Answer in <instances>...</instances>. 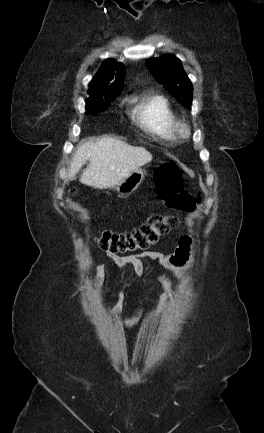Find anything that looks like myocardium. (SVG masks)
<instances>
[{
	"label": "myocardium",
	"instance_id": "myocardium-1",
	"mask_svg": "<svg viewBox=\"0 0 264 433\" xmlns=\"http://www.w3.org/2000/svg\"><path fill=\"white\" fill-rule=\"evenodd\" d=\"M178 134L182 137V138H188L191 135V128L190 126L185 123V122H180L178 124Z\"/></svg>",
	"mask_w": 264,
	"mask_h": 433
}]
</instances>
